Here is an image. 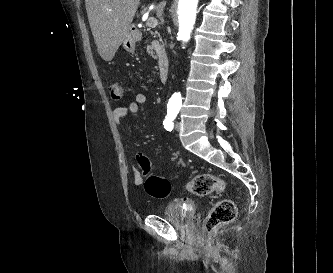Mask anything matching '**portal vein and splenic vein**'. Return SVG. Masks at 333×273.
Here are the masks:
<instances>
[{"instance_id": "portal-vein-and-splenic-vein-1", "label": "portal vein and splenic vein", "mask_w": 333, "mask_h": 273, "mask_svg": "<svg viewBox=\"0 0 333 273\" xmlns=\"http://www.w3.org/2000/svg\"><path fill=\"white\" fill-rule=\"evenodd\" d=\"M146 25H147L148 27L155 28V27L158 25L157 19H155L154 17H150V18L147 20Z\"/></svg>"}]
</instances>
